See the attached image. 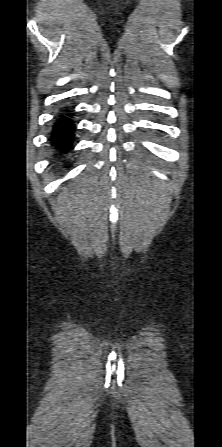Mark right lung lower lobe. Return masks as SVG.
Returning <instances> with one entry per match:
<instances>
[{"mask_svg": "<svg viewBox=\"0 0 222 447\" xmlns=\"http://www.w3.org/2000/svg\"><path fill=\"white\" fill-rule=\"evenodd\" d=\"M75 122L73 120V110L70 107H64L55 116L50 141L53 147L60 153H65L72 148V142L75 136Z\"/></svg>", "mask_w": 222, "mask_h": 447, "instance_id": "right-lung-lower-lobe-1", "label": "right lung lower lobe"}]
</instances>
